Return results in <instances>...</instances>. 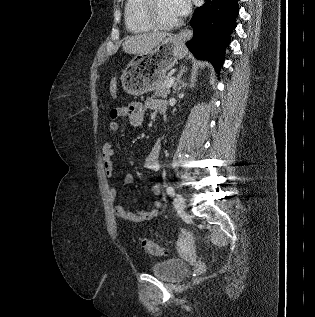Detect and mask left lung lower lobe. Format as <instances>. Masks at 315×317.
<instances>
[{
	"instance_id": "0a47b994",
	"label": "left lung lower lobe",
	"mask_w": 315,
	"mask_h": 317,
	"mask_svg": "<svg viewBox=\"0 0 315 317\" xmlns=\"http://www.w3.org/2000/svg\"><path fill=\"white\" fill-rule=\"evenodd\" d=\"M238 0H206L195 9L190 26L194 36L186 43L198 58L210 61L219 73L225 57V47L236 27Z\"/></svg>"
}]
</instances>
